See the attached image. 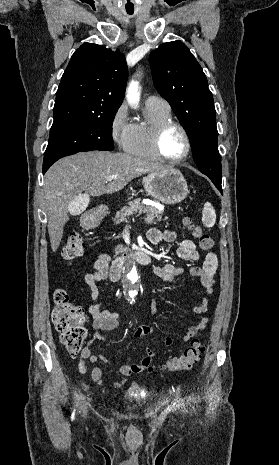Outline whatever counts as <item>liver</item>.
<instances>
[{"label":"liver","mask_w":279,"mask_h":465,"mask_svg":"<svg viewBox=\"0 0 279 465\" xmlns=\"http://www.w3.org/2000/svg\"><path fill=\"white\" fill-rule=\"evenodd\" d=\"M164 168L129 154L107 151L83 152L58 160L46 172L42 189L52 251L56 252L60 245L74 198L82 196L86 208L88 196L118 192L131 180ZM109 176L116 178L108 181Z\"/></svg>","instance_id":"6515ba94"}]
</instances>
